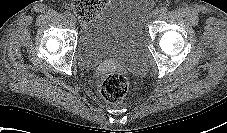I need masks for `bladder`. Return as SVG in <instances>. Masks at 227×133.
<instances>
[{"instance_id": "bladder-1", "label": "bladder", "mask_w": 227, "mask_h": 133, "mask_svg": "<svg viewBox=\"0 0 227 133\" xmlns=\"http://www.w3.org/2000/svg\"><path fill=\"white\" fill-rule=\"evenodd\" d=\"M152 0H109L81 30L76 47L79 66L116 63L138 72L144 66L143 35Z\"/></svg>"}]
</instances>
